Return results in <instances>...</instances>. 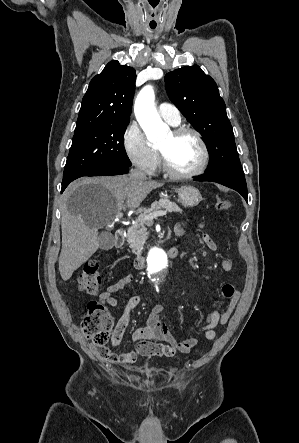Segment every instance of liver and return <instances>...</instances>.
Returning a JSON list of instances; mask_svg holds the SVG:
<instances>
[{
	"instance_id": "6515ba94",
	"label": "liver",
	"mask_w": 299,
	"mask_h": 443,
	"mask_svg": "<svg viewBox=\"0 0 299 443\" xmlns=\"http://www.w3.org/2000/svg\"><path fill=\"white\" fill-rule=\"evenodd\" d=\"M163 185L155 180H134L130 176L84 178L70 186L61 212L62 249L59 271L67 281L99 248L98 229L111 223L122 209L134 210L147 195ZM83 186L84 198L72 199Z\"/></svg>"
}]
</instances>
